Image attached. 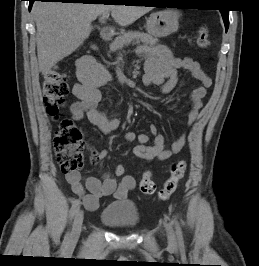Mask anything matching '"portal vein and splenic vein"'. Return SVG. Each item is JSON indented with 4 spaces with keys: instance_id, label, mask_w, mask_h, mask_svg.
<instances>
[{
    "instance_id": "1",
    "label": "portal vein and splenic vein",
    "mask_w": 259,
    "mask_h": 266,
    "mask_svg": "<svg viewBox=\"0 0 259 266\" xmlns=\"http://www.w3.org/2000/svg\"><path fill=\"white\" fill-rule=\"evenodd\" d=\"M108 17H109L108 13H103V15L101 16V20L105 21Z\"/></svg>"
}]
</instances>
